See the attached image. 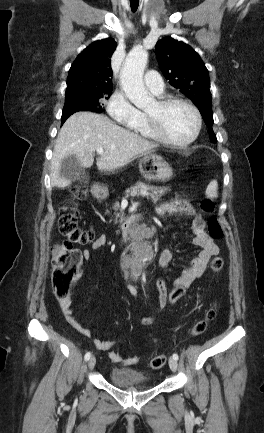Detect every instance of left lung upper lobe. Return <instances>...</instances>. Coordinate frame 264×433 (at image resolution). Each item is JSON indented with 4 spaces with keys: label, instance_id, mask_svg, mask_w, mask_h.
<instances>
[{
    "label": "left lung upper lobe",
    "instance_id": "left-lung-upper-lobe-1",
    "mask_svg": "<svg viewBox=\"0 0 264 433\" xmlns=\"http://www.w3.org/2000/svg\"><path fill=\"white\" fill-rule=\"evenodd\" d=\"M156 55L165 78L198 107L209 128L211 141L216 142L212 129L210 78L200 56L189 45L171 37L157 42Z\"/></svg>",
    "mask_w": 264,
    "mask_h": 433
}]
</instances>
